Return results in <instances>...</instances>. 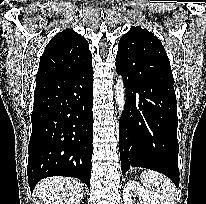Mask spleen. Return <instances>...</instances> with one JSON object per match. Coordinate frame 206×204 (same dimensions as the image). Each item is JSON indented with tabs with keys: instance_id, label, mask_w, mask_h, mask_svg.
Returning <instances> with one entry per match:
<instances>
[{
	"instance_id": "3e777b00",
	"label": "spleen",
	"mask_w": 206,
	"mask_h": 204,
	"mask_svg": "<svg viewBox=\"0 0 206 204\" xmlns=\"http://www.w3.org/2000/svg\"><path fill=\"white\" fill-rule=\"evenodd\" d=\"M141 182L156 204H175V187L165 175L154 170H144Z\"/></svg>"
}]
</instances>
